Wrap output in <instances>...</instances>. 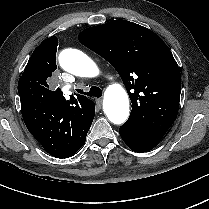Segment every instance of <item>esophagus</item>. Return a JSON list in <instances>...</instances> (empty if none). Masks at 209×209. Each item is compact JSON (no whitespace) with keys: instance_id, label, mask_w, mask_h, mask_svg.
I'll return each instance as SVG.
<instances>
[{"instance_id":"34e87169","label":"esophagus","mask_w":209,"mask_h":209,"mask_svg":"<svg viewBox=\"0 0 209 209\" xmlns=\"http://www.w3.org/2000/svg\"><path fill=\"white\" fill-rule=\"evenodd\" d=\"M96 104L98 107H101L102 106V99H97Z\"/></svg>"}]
</instances>
